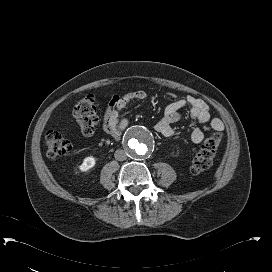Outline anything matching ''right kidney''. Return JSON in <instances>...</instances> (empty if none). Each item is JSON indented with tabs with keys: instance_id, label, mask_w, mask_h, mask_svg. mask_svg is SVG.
I'll list each match as a JSON object with an SVG mask.
<instances>
[{
	"instance_id": "obj_1",
	"label": "right kidney",
	"mask_w": 272,
	"mask_h": 272,
	"mask_svg": "<svg viewBox=\"0 0 272 272\" xmlns=\"http://www.w3.org/2000/svg\"><path fill=\"white\" fill-rule=\"evenodd\" d=\"M96 164V159L93 156H88L86 157L82 164L79 166V171L80 172H87L89 171L91 168H93Z\"/></svg>"
}]
</instances>
